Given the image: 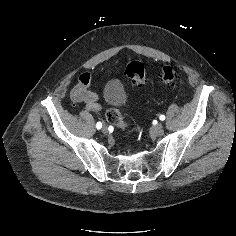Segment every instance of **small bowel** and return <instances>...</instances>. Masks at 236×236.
<instances>
[{
	"instance_id": "obj_1",
	"label": "small bowel",
	"mask_w": 236,
	"mask_h": 236,
	"mask_svg": "<svg viewBox=\"0 0 236 236\" xmlns=\"http://www.w3.org/2000/svg\"><path fill=\"white\" fill-rule=\"evenodd\" d=\"M91 80L92 75L90 73H82L72 90V98L74 102H85L90 111H99L102 109V105L99 103V94L88 90Z\"/></svg>"
}]
</instances>
